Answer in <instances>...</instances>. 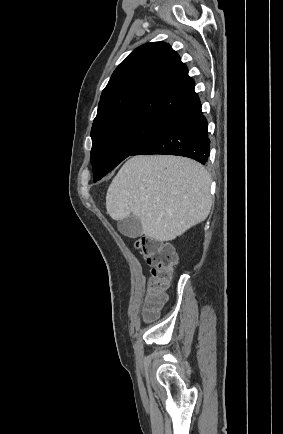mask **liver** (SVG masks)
Returning a JSON list of instances; mask_svg holds the SVG:
<instances>
[{
    "label": "liver",
    "mask_w": 283,
    "mask_h": 434,
    "mask_svg": "<svg viewBox=\"0 0 283 434\" xmlns=\"http://www.w3.org/2000/svg\"><path fill=\"white\" fill-rule=\"evenodd\" d=\"M211 177L198 162L171 155L130 158L106 194L114 220L137 217L145 236L171 241L203 222L210 213Z\"/></svg>",
    "instance_id": "obj_1"
}]
</instances>
